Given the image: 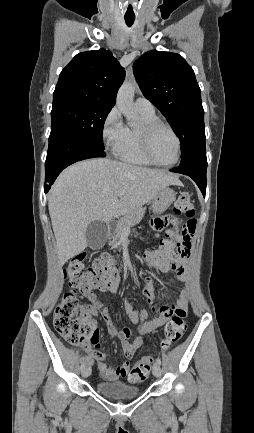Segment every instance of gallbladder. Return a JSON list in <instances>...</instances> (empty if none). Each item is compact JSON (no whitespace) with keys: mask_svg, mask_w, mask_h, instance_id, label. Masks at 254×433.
Wrapping results in <instances>:
<instances>
[{"mask_svg":"<svg viewBox=\"0 0 254 433\" xmlns=\"http://www.w3.org/2000/svg\"><path fill=\"white\" fill-rule=\"evenodd\" d=\"M87 244L91 249H101L108 238V226L104 221L91 222L85 232Z\"/></svg>","mask_w":254,"mask_h":433,"instance_id":"bac80fb5","label":"gallbladder"}]
</instances>
